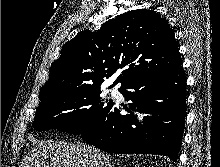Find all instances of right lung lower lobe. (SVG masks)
I'll return each instance as SVG.
<instances>
[{"mask_svg":"<svg viewBox=\"0 0 220 167\" xmlns=\"http://www.w3.org/2000/svg\"><path fill=\"white\" fill-rule=\"evenodd\" d=\"M119 92L132 101L123 106L129 114H120L113 102L81 138L109 153L161 154L177 161L186 115L182 65L138 77Z\"/></svg>","mask_w":220,"mask_h":167,"instance_id":"obj_1","label":"right lung lower lobe"}]
</instances>
